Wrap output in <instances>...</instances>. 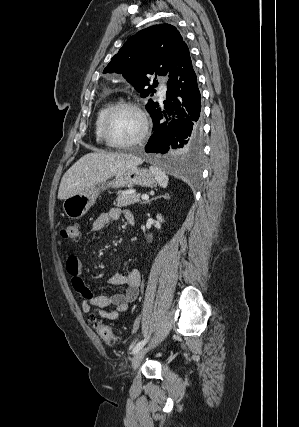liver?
Listing matches in <instances>:
<instances>
[{"label":"liver","mask_w":299,"mask_h":427,"mask_svg":"<svg viewBox=\"0 0 299 427\" xmlns=\"http://www.w3.org/2000/svg\"><path fill=\"white\" fill-rule=\"evenodd\" d=\"M142 163V158L131 154L104 151L88 153L63 175L58 199L65 200Z\"/></svg>","instance_id":"liver-1"}]
</instances>
